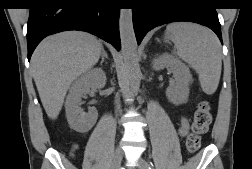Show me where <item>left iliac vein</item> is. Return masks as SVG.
I'll list each match as a JSON object with an SVG mask.
<instances>
[{
	"instance_id": "4c4485c4",
	"label": "left iliac vein",
	"mask_w": 252,
	"mask_h": 169,
	"mask_svg": "<svg viewBox=\"0 0 252 169\" xmlns=\"http://www.w3.org/2000/svg\"><path fill=\"white\" fill-rule=\"evenodd\" d=\"M139 169H148V164L143 159L138 161Z\"/></svg>"
}]
</instances>
